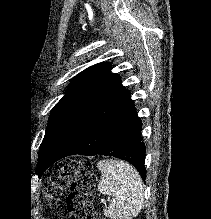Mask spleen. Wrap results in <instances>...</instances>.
Here are the masks:
<instances>
[{
	"label": "spleen",
	"mask_w": 211,
	"mask_h": 219,
	"mask_svg": "<svg viewBox=\"0 0 211 219\" xmlns=\"http://www.w3.org/2000/svg\"><path fill=\"white\" fill-rule=\"evenodd\" d=\"M97 167L101 172L98 190L112 196L104 215L111 219H131L143 208L144 186L131 165L119 160H102Z\"/></svg>",
	"instance_id": "3e777b00"
}]
</instances>
